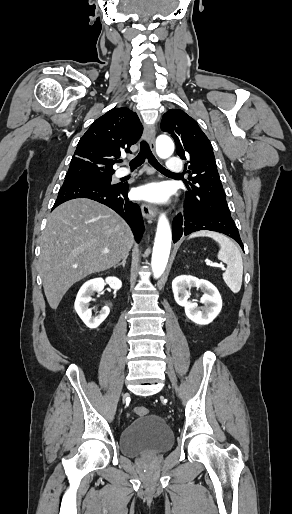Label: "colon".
Wrapping results in <instances>:
<instances>
[{"label":"colon","instance_id":"obj_1","mask_svg":"<svg viewBox=\"0 0 292 514\" xmlns=\"http://www.w3.org/2000/svg\"><path fill=\"white\" fill-rule=\"evenodd\" d=\"M134 413L139 416V417H146L148 414H149V410L144 407V406H141V405H137L134 407Z\"/></svg>","mask_w":292,"mask_h":514}]
</instances>
